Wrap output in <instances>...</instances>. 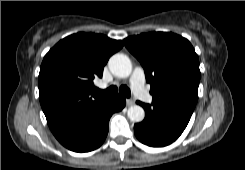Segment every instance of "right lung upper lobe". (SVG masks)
Returning <instances> with one entry per match:
<instances>
[{
	"label": "right lung upper lobe",
	"mask_w": 245,
	"mask_h": 170,
	"mask_svg": "<svg viewBox=\"0 0 245 170\" xmlns=\"http://www.w3.org/2000/svg\"><path fill=\"white\" fill-rule=\"evenodd\" d=\"M105 35L77 33L59 41L44 57L38 77L39 98L47 123L59 139L107 96L96 93L109 57L122 48Z\"/></svg>",
	"instance_id": "cb5924a9"
}]
</instances>
